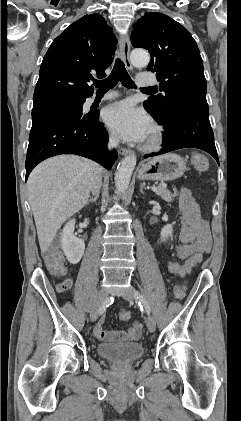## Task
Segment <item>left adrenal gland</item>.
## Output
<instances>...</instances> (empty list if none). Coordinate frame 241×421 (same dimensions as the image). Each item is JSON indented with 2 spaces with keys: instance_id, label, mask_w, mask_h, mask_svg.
I'll return each mask as SVG.
<instances>
[{
  "instance_id": "left-adrenal-gland-1",
  "label": "left adrenal gland",
  "mask_w": 241,
  "mask_h": 421,
  "mask_svg": "<svg viewBox=\"0 0 241 421\" xmlns=\"http://www.w3.org/2000/svg\"><path fill=\"white\" fill-rule=\"evenodd\" d=\"M143 189H148V187L145 186V183L140 184V192L143 193Z\"/></svg>"
}]
</instances>
